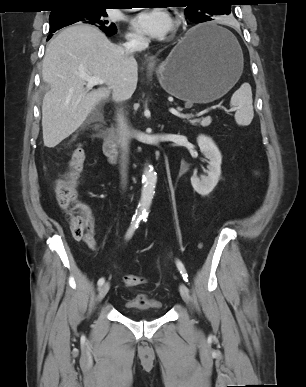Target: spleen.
<instances>
[{"instance_id":"obj_1","label":"spleen","mask_w":306,"mask_h":387,"mask_svg":"<svg viewBox=\"0 0 306 387\" xmlns=\"http://www.w3.org/2000/svg\"><path fill=\"white\" fill-rule=\"evenodd\" d=\"M252 91L249 83H243L231 97L230 105L236 109L235 121L238 125L247 126L254 117Z\"/></svg>"}]
</instances>
